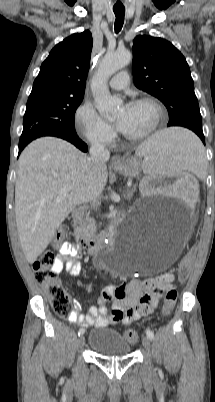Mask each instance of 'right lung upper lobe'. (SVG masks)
<instances>
[{
    "instance_id": "right-lung-upper-lobe-1",
    "label": "right lung upper lobe",
    "mask_w": 215,
    "mask_h": 402,
    "mask_svg": "<svg viewBox=\"0 0 215 402\" xmlns=\"http://www.w3.org/2000/svg\"><path fill=\"white\" fill-rule=\"evenodd\" d=\"M92 43L87 30L57 44L42 63L30 96L41 93L84 96Z\"/></svg>"
}]
</instances>
